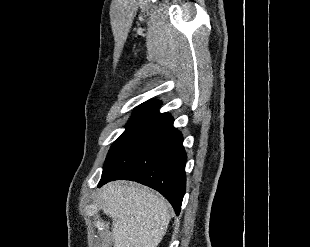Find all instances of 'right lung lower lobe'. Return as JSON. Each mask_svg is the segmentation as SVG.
<instances>
[{
  "label": "right lung lower lobe",
  "mask_w": 310,
  "mask_h": 247,
  "mask_svg": "<svg viewBox=\"0 0 310 247\" xmlns=\"http://www.w3.org/2000/svg\"><path fill=\"white\" fill-rule=\"evenodd\" d=\"M173 121L169 113H161L146 123L104 166L98 186L117 179L139 182L160 192L179 215L187 156Z\"/></svg>",
  "instance_id": "98d812e1"
}]
</instances>
